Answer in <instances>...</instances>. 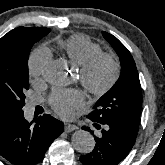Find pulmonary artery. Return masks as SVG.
Segmentation results:
<instances>
[{
  "label": "pulmonary artery",
  "mask_w": 165,
  "mask_h": 165,
  "mask_svg": "<svg viewBox=\"0 0 165 165\" xmlns=\"http://www.w3.org/2000/svg\"><path fill=\"white\" fill-rule=\"evenodd\" d=\"M34 105H35V102H30L29 108H30V109H33Z\"/></svg>",
  "instance_id": "1"
}]
</instances>
